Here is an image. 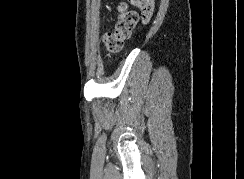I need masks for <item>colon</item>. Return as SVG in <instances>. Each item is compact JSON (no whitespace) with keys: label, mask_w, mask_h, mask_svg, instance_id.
Listing matches in <instances>:
<instances>
[{"label":"colon","mask_w":244,"mask_h":179,"mask_svg":"<svg viewBox=\"0 0 244 179\" xmlns=\"http://www.w3.org/2000/svg\"><path fill=\"white\" fill-rule=\"evenodd\" d=\"M138 9H129L127 4L118 5L120 17L117 21L116 30L107 32L103 37V43L108 52H119L124 47V42L130 38L137 25L147 24L154 14V3L152 0H127ZM141 14V16H140Z\"/></svg>","instance_id":"1"}]
</instances>
